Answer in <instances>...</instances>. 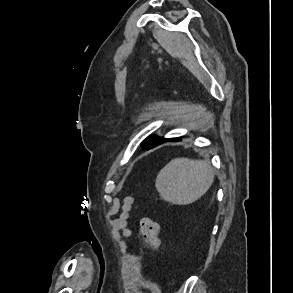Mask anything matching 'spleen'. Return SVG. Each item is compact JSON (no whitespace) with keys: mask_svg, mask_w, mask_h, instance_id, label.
<instances>
[{"mask_svg":"<svg viewBox=\"0 0 293 293\" xmlns=\"http://www.w3.org/2000/svg\"><path fill=\"white\" fill-rule=\"evenodd\" d=\"M213 181L214 170L209 162L175 158L159 172L155 186L164 200L187 205L203 196Z\"/></svg>","mask_w":293,"mask_h":293,"instance_id":"1","label":"spleen"}]
</instances>
